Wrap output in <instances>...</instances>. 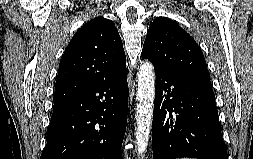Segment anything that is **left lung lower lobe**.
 I'll return each instance as SVG.
<instances>
[{
	"instance_id": "1",
	"label": "left lung lower lobe",
	"mask_w": 253,
	"mask_h": 159,
	"mask_svg": "<svg viewBox=\"0 0 253 159\" xmlns=\"http://www.w3.org/2000/svg\"><path fill=\"white\" fill-rule=\"evenodd\" d=\"M155 73L153 159H227L210 79Z\"/></svg>"
}]
</instances>
